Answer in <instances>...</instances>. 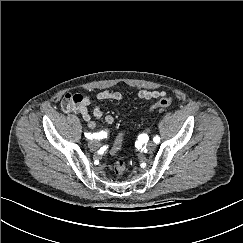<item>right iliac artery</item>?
<instances>
[{
    "label": "right iliac artery",
    "mask_w": 243,
    "mask_h": 243,
    "mask_svg": "<svg viewBox=\"0 0 243 243\" xmlns=\"http://www.w3.org/2000/svg\"><path fill=\"white\" fill-rule=\"evenodd\" d=\"M104 133H95V134H91V133H85V136L88 138V139H96V140H100L102 139L104 136L102 135Z\"/></svg>",
    "instance_id": "obj_1"
}]
</instances>
